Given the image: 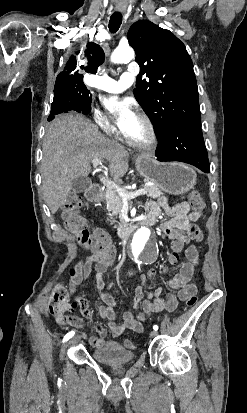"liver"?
<instances>
[{
	"label": "liver",
	"instance_id": "liver-1",
	"mask_svg": "<svg viewBox=\"0 0 247 413\" xmlns=\"http://www.w3.org/2000/svg\"><path fill=\"white\" fill-rule=\"evenodd\" d=\"M42 148V190L52 215L70 194L72 180L89 174L93 158L109 162L108 172L120 178L128 170L131 154L128 148L104 136L92 120L76 112L59 114L50 122Z\"/></svg>",
	"mask_w": 247,
	"mask_h": 413
}]
</instances>
